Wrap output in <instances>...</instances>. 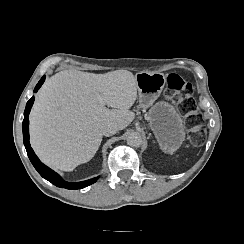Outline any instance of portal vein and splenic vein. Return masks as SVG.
Instances as JSON below:
<instances>
[{"instance_id":"18ae733b","label":"portal vein and splenic vein","mask_w":244,"mask_h":244,"mask_svg":"<svg viewBox=\"0 0 244 244\" xmlns=\"http://www.w3.org/2000/svg\"><path fill=\"white\" fill-rule=\"evenodd\" d=\"M97 100H98L100 105L105 106L104 99L100 94L97 95Z\"/></svg>"}]
</instances>
